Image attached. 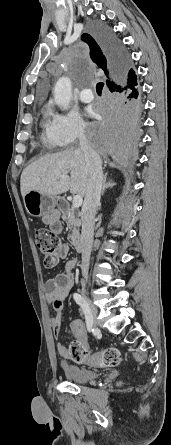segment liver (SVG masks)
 I'll return each instance as SVG.
<instances>
[{"label": "liver", "mask_w": 171, "mask_h": 445, "mask_svg": "<svg viewBox=\"0 0 171 445\" xmlns=\"http://www.w3.org/2000/svg\"><path fill=\"white\" fill-rule=\"evenodd\" d=\"M61 175L64 177L61 178ZM88 181L89 173L83 152L69 148L43 156L28 165L21 174L20 189L23 197L32 190L53 197L70 190L83 197Z\"/></svg>", "instance_id": "obj_1"}]
</instances>
